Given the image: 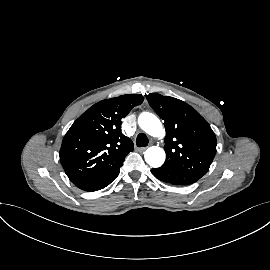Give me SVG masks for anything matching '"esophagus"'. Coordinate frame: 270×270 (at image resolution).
Wrapping results in <instances>:
<instances>
[{
  "instance_id": "34e87169",
  "label": "esophagus",
  "mask_w": 270,
  "mask_h": 270,
  "mask_svg": "<svg viewBox=\"0 0 270 270\" xmlns=\"http://www.w3.org/2000/svg\"><path fill=\"white\" fill-rule=\"evenodd\" d=\"M146 149H147V147H141V148H138V151L139 152H144Z\"/></svg>"
}]
</instances>
